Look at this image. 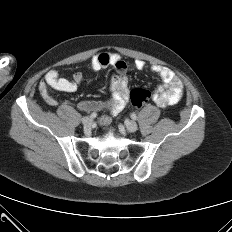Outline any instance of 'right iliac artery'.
<instances>
[{
	"mask_svg": "<svg viewBox=\"0 0 232 232\" xmlns=\"http://www.w3.org/2000/svg\"><path fill=\"white\" fill-rule=\"evenodd\" d=\"M97 116V114L95 112L90 114V118H95Z\"/></svg>",
	"mask_w": 232,
	"mask_h": 232,
	"instance_id": "right-iliac-artery-1",
	"label": "right iliac artery"
}]
</instances>
